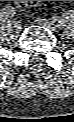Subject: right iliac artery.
Returning a JSON list of instances; mask_svg holds the SVG:
<instances>
[{"label": "right iliac artery", "mask_w": 74, "mask_h": 122, "mask_svg": "<svg viewBox=\"0 0 74 122\" xmlns=\"http://www.w3.org/2000/svg\"><path fill=\"white\" fill-rule=\"evenodd\" d=\"M3 12H4V14H9V15L15 14L14 8L10 7V6H6L5 8H3Z\"/></svg>", "instance_id": "1"}]
</instances>
